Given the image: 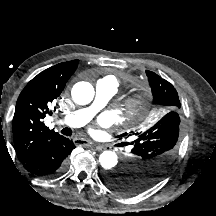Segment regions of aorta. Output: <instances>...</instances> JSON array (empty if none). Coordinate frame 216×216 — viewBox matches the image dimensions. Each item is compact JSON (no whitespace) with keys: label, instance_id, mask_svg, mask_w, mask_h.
Here are the masks:
<instances>
[{"label":"aorta","instance_id":"obj_1","mask_svg":"<svg viewBox=\"0 0 216 216\" xmlns=\"http://www.w3.org/2000/svg\"><path fill=\"white\" fill-rule=\"evenodd\" d=\"M72 98L79 105L89 104L94 97V88L89 82H78L72 88ZM102 168L110 170L118 163L117 154L114 151L106 150L99 156Z\"/></svg>","mask_w":216,"mask_h":216}]
</instances>
